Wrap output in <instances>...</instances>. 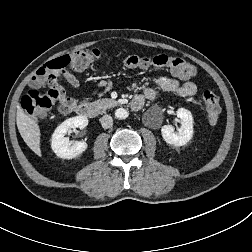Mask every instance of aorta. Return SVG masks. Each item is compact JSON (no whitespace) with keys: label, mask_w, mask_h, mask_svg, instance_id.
Masks as SVG:
<instances>
[{"label":"aorta","mask_w":252,"mask_h":252,"mask_svg":"<svg viewBox=\"0 0 252 252\" xmlns=\"http://www.w3.org/2000/svg\"><path fill=\"white\" fill-rule=\"evenodd\" d=\"M128 115V111L124 108H119L115 111V117L118 119H126Z\"/></svg>","instance_id":"aorta-1"}]
</instances>
